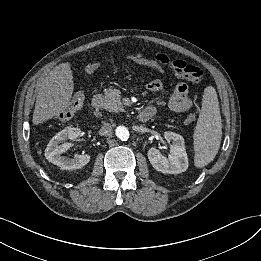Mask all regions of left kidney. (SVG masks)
<instances>
[{
    "label": "left kidney",
    "instance_id": "5707ae66",
    "mask_svg": "<svg viewBox=\"0 0 261 261\" xmlns=\"http://www.w3.org/2000/svg\"><path fill=\"white\" fill-rule=\"evenodd\" d=\"M164 138L167 142L172 141L168 158L152 147L148 150V159L152 166L162 173L178 174L187 170L188 157L185 150L184 138L174 132L166 131Z\"/></svg>",
    "mask_w": 261,
    "mask_h": 261
}]
</instances>
